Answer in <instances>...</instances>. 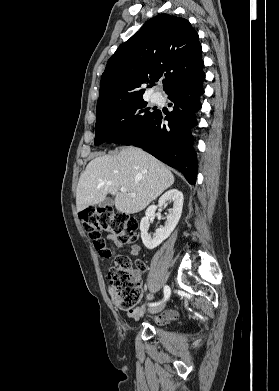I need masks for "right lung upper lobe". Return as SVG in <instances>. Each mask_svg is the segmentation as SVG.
<instances>
[{
    "instance_id": "cb5924a9",
    "label": "right lung upper lobe",
    "mask_w": 279,
    "mask_h": 391,
    "mask_svg": "<svg viewBox=\"0 0 279 391\" xmlns=\"http://www.w3.org/2000/svg\"><path fill=\"white\" fill-rule=\"evenodd\" d=\"M202 47L190 22L169 14L150 19L108 60L100 83L96 114L142 100V84L154 85L162 76L171 93L202 72Z\"/></svg>"
}]
</instances>
